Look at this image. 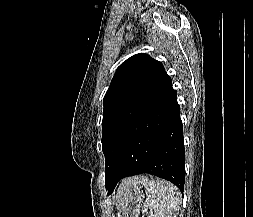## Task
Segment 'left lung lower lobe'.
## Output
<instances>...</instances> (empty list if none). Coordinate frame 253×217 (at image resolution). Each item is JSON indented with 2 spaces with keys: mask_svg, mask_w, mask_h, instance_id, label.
I'll return each instance as SVG.
<instances>
[{
  "mask_svg": "<svg viewBox=\"0 0 253 217\" xmlns=\"http://www.w3.org/2000/svg\"><path fill=\"white\" fill-rule=\"evenodd\" d=\"M176 96L171 87L126 132L118 146L112 173L105 182L109 193L122 178L141 173L164 178L183 192L185 150Z\"/></svg>",
  "mask_w": 253,
  "mask_h": 217,
  "instance_id": "1",
  "label": "left lung lower lobe"
}]
</instances>
